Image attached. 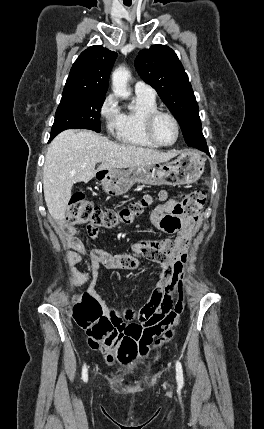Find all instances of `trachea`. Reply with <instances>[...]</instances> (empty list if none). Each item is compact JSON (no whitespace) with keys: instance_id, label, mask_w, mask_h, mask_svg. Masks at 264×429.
Masks as SVG:
<instances>
[{"instance_id":"3493384b","label":"trachea","mask_w":264,"mask_h":429,"mask_svg":"<svg viewBox=\"0 0 264 429\" xmlns=\"http://www.w3.org/2000/svg\"><path fill=\"white\" fill-rule=\"evenodd\" d=\"M125 5H126V6H130L131 4H127V3H125Z\"/></svg>"}]
</instances>
